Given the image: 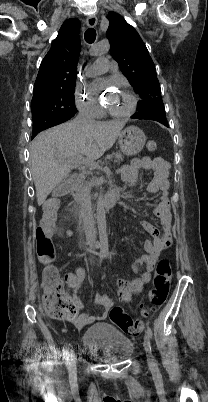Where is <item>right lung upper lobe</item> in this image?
<instances>
[{"instance_id":"1","label":"right lung upper lobe","mask_w":208,"mask_h":402,"mask_svg":"<svg viewBox=\"0 0 208 402\" xmlns=\"http://www.w3.org/2000/svg\"><path fill=\"white\" fill-rule=\"evenodd\" d=\"M79 28L80 22L77 19H68L63 23L51 49L41 62L34 93L65 82H76L80 39L75 30Z\"/></svg>"}]
</instances>
